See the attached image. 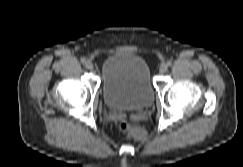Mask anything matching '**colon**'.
Returning a JSON list of instances; mask_svg holds the SVG:
<instances>
[{
	"instance_id": "obj_1",
	"label": "colon",
	"mask_w": 243,
	"mask_h": 167,
	"mask_svg": "<svg viewBox=\"0 0 243 167\" xmlns=\"http://www.w3.org/2000/svg\"><path fill=\"white\" fill-rule=\"evenodd\" d=\"M118 128L120 131L132 138L142 139L145 136V131L141 127H138L128 121L119 122Z\"/></svg>"
}]
</instances>
